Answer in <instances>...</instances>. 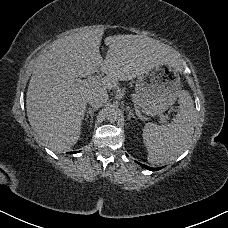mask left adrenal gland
Returning <instances> with one entry per match:
<instances>
[{"mask_svg":"<svg viewBox=\"0 0 228 228\" xmlns=\"http://www.w3.org/2000/svg\"><path fill=\"white\" fill-rule=\"evenodd\" d=\"M129 113H130V114H129V117H128V121H130V120H132V119L138 120V119L136 118V116H134L132 109H129Z\"/></svg>","mask_w":228,"mask_h":228,"instance_id":"1","label":"left adrenal gland"}]
</instances>
